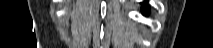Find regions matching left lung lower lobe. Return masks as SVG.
<instances>
[{"instance_id": "1", "label": "left lung lower lobe", "mask_w": 213, "mask_h": 48, "mask_svg": "<svg viewBox=\"0 0 213 48\" xmlns=\"http://www.w3.org/2000/svg\"><path fill=\"white\" fill-rule=\"evenodd\" d=\"M144 10H145L146 13L148 12V7H147L146 4L144 5Z\"/></svg>"}]
</instances>
